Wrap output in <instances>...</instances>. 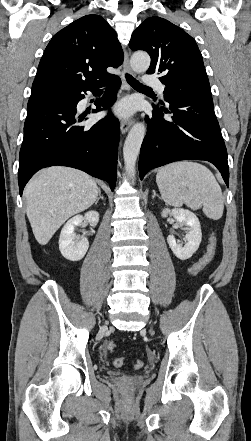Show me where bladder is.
Masks as SVG:
<instances>
[{
	"instance_id": "31cf9c89",
	"label": "bladder",
	"mask_w": 251,
	"mask_h": 441,
	"mask_svg": "<svg viewBox=\"0 0 251 441\" xmlns=\"http://www.w3.org/2000/svg\"><path fill=\"white\" fill-rule=\"evenodd\" d=\"M110 374L111 375H119V374H121L120 372H115V371H113V372H110Z\"/></svg>"
}]
</instances>
